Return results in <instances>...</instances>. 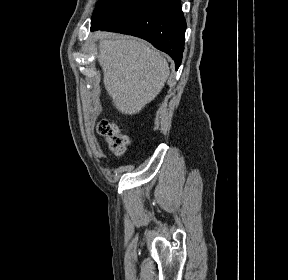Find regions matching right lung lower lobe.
Listing matches in <instances>:
<instances>
[{"mask_svg":"<svg viewBox=\"0 0 288 280\" xmlns=\"http://www.w3.org/2000/svg\"><path fill=\"white\" fill-rule=\"evenodd\" d=\"M107 30L143 38L164 51L179 68L186 21L180 0H120L91 21V31Z\"/></svg>","mask_w":288,"mask_h":280,"instance_id":"obj_1","label":"right lung lower lobe"}]
</instances>
